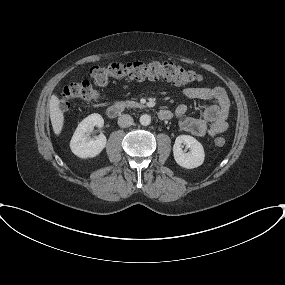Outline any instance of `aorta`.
<instances>
[{
    "label": "aorta",
    "instance_id": "1",
    "mask_svg": "<svg viewBox=\"0 0 285 285\" xmlns=\"http://www.w3.org/2000/svg\"><path fill=\"white\" fill-rule=\"evenodd\" d=\"M139 121H140L141 125L147 126L151 123V117L148 114H143V115H141Z\"/></svg>",
    "mask_w": 285,
    "mask_h": 285
}]
</instances>
